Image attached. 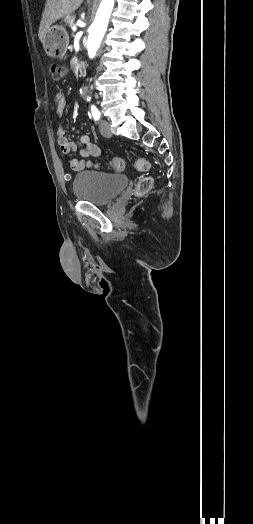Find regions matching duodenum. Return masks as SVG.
Instances as JSON below:
<instances>
[{
	"mask_svg": "<svg viewBox=\"0 0 253 524\" xmlns=\"http://www.w3.org/2000/svg\"><path fill=\"white\" fill-rule=\"evenodd\" d=\"M85 71H86V65H85V63H83V62H79V63L77 64V72H78L79 74H84Z\"/></svg>",
	"mask_w": 253,
	"mask_h": 524,
	"instance_id": "1",
	"label": "duodenum"
}]
</instances>
